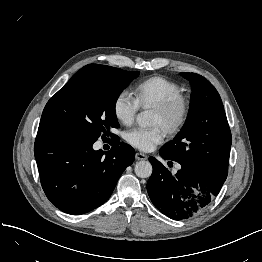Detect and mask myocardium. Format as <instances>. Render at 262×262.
<instances>
[{"label":"myocardium","mask_w":262,"mask_h":262,"mask_svg":"<svg viewBox=\"0 0 262 262\" xmlns=\"http://www.w3.org/2000/svg\"><path fill=\"white\" fill-rule=\"evenodd\" d=\"M164 120L163 126L170 134L181 131L187 124L190 113V101L180 95L172 99L165 100L154 107Z\"/></svg>","instance_id":"myocardium-1"}]
</instances>
